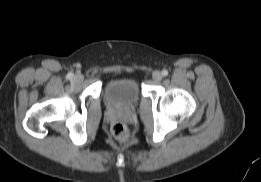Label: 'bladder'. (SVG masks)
<instances>
[{"label": "bladder", "instance_id": "obj_1", "mask_svg": "<svg viewBox=\"0 0 261 182\" xmlns=\"http://www.w3.org/2000/svg\"><path fill=\"white\" fill-rule=\"evenodd\" d=\"M106 104L113 109H132L140 98L137 82L130 78L114 79L107 82L103 89Z\"/></svg>", "mask_w": 261, "mask_h": 182}]
</instances>
